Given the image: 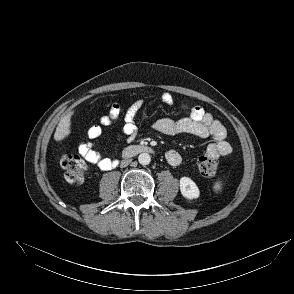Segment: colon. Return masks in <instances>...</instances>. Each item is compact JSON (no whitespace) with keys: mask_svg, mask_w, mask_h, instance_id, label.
<instances>
[{"mask_svg":"<svg viewBox=\"0 0 294 294\" xmlns=\"http://www.w3.org/2000/svg\"><path fill=\"white\" fill-rule=\"evenodd\" d=\"M60 165L65 171V179L70 184H79L83 181L87 172L85 161L77 154L65 152L60 157ZM218 168L216 158L209 155H202L198 159V169L205 177L215 175Z\"/></svg>","mask_w":294,"mask_h":294,"instance_id":"obj_1","label":"colon"}]
</instances>
